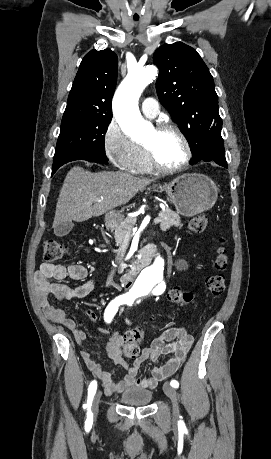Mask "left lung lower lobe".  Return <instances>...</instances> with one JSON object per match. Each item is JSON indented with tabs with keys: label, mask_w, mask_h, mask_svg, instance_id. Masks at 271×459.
I'll return each instance as SVG.
<instances>
[{
	"label": "left lung lower lobe",
	"mask_w": 271,
	"mask_h": 459,
	"mask_svg": "<svg viewBox=\"0 0 271 459\" xmlns=\"http://www.w3.org/2000/svg\"><path fill=\"white\" fill-rule=\"evenodd\" d=\"M199 161H205V162L214 161L215 163L225 168H228L227 162L225 159L224 143H223V138L221 136V132H217L213 134V136L210 138L209 150L205 153V155ZM195 163L197 162H191L192 165Z\"/></svg>",
	"instance_id": "0a47b994"
}]
</instances>
